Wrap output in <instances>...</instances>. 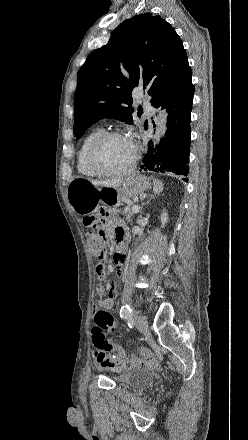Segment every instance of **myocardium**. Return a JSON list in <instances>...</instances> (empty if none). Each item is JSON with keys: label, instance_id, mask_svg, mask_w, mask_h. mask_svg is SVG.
I'll return each instance as SVG.
<instances>
[{"label": "myocardium", "instance_id": "f54148a6", "mask_svg": "<svg viewBox=\"0 0 248 440\" xmlns=\"http://www.w3.org/2000/svg\"><path fill=\"white\" fill-rule=\"evenodd\" d=\"M115 137H119V138H126V136L120 132V131H103L90 145L88 153H87V161L88 164L90 166V168L93 170V172H95L97 175L100 176H105V177H120V176H124L126 174H129L130 172H132L136 166L137 163V159H138V155L137 153L134 151L133 153V157L132 160L130 162V164L119 171H106L104 169H102L96 161V156H97V152L99 150V148L102 146V144L107 141L110 138H115Z\"/></svg>", "mask_w": 248, "mask_h": 440}]
</instances>
